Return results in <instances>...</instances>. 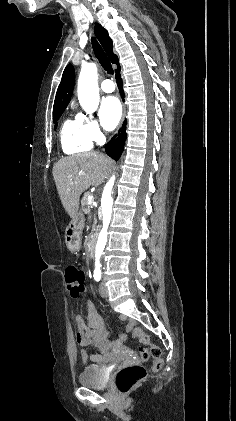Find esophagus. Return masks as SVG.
Segmentation results:
<instances>
[{
    "label": "esophagus",
    "mask_w": 236,
    "mask_h": 421,
    "mask_svg": "<svg viewBox=\"0 0 236 421\" xmlns=\"http://www.w3.org/2000/svg\"><path fill=\"white\" fill-rule=\"evenodd\" d=\"M124 118H125V107H124V110H123V117H122V120H124Z\"/></svg>",
    "instance_id": "obj_1"
}]
</instances>
